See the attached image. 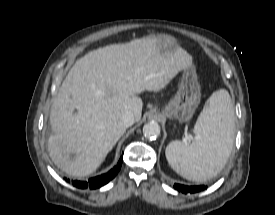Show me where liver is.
<instances>
[{
    "label": "liver",
    "instance_id": "6515ba94",
    "mask_svg": "<svg viewBox=\"0 0 275 215\" xmlns=\"http://www.w3.org/2000/svg\"><path fill=\"white\" fill-rule=\"evenodd\" d=\"M187 67L192 56L182 48L162 54L157 37L108 45L77 60L51 108L48 151L54 164L71 176L93 173L126 131L120 118L129 111L134 121L141 119L138 95L163 89Z\"/></svg>",
    "mask_w": 275,
    "mask_h": 215
}]
</instances>
